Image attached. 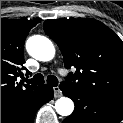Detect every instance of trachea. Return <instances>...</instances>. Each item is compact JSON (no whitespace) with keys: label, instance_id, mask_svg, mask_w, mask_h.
Returning a JSON list of instances; mask_svg holds the SVG:
<instances>
[{"label":"trachea","instance_id":"obj_1","mask_svg":"<svg viewBox=\"0 0 123 123\" xmlns=\"http://www.w3.org/2000/svg\"><path fill=\"white\" fill-rule=\"evenodd\" d=\"M30 83L32 84H43L44 83V76L40 73L36 74L31 80H29ZM47 83L50 84L51 86L56 87L58 85V79L53 76L49 75L47 77Z\"/></svg>","mask_w":123,"mask_h":123}]
</instances>
